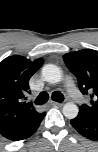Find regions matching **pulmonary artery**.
I'll return each mask as SVG.
<instances>
[{"label":"pulmonary artery","mask_w":98,"mask_h":152,"mask_svg":"<svg viewBox=\"0 0 98 152\" xmlns=\"http://www.w3.org/2000/svg\"><path fill=\"white\" fill-rule=\"evenodd\" d=\"M65 86L68 92V95L71 97V99L74 102H79L82 99V95L80 92L77 90L75 83L72 78L67 77L65 79Z\"/></svg>","instance_id":"obj_1"}]
</instances>
